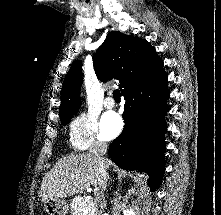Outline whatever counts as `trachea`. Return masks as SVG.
<instances>
[{
    "mask_svg": "<svg viewBox=\"0 0 221 215\" xmlns=\"http://www.w3.org/2000/svg\"><path fill=\"white\" fill-rule=\"evenodd\" d=\"M113 97L115 100H120V91L118 89L113 91Z\"/></svg>",
    "mask_w": 221,
    "mask_h": 215,
    "instance_id": "3493384b",
    "label": "trachea"
}]
</instances>
